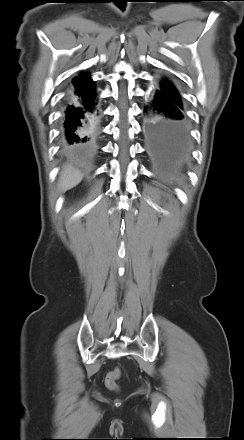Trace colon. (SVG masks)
Listing matches in <instances>:
<instances>
[{
  "label": "colon",
  "mask_w": 244,
  "mask_h": 440,
  "mask_svg": "<svg viewBox=\"0 0 244 440\" xmlns=\"http://www.w3.org/2000/svg\"><path fill=\"white\" fill-rule=\"evenodd\" d=\"M121 372L120 369H115L113 371H111L110 373H108V375L106 376V386L111 389V390H117L118 389V384L117 381L120 378Z\"/></svg>",
  "instance_id": "colon-1"
}]
</instances>
